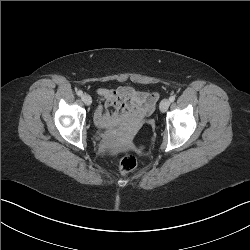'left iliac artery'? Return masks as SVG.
<instances>
[{"mask_svg":"<svg viewBox=\"0 0 250 250\" xmlns=\"http://www.w3.org/2000/svg\"><path fill=\"white\" fill-rule=\"evenodd\" d=\"M169 100L170 102H173L175 100V96H170Z\"/></svg>","mask_w":250,"mask_h":250,"instance_id":"left-iliac-artery-1","label":"left iliac artery"}]
</instances>
